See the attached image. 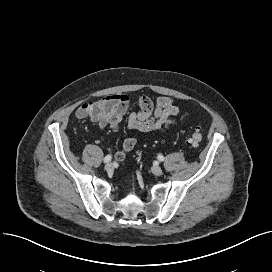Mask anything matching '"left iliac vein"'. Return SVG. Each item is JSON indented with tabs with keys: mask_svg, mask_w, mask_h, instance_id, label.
I'll return each mask as SVG.
<instances>
[{
	"mask_svg": "<svg viewBox=\"0 0 272 272\" xmlns=\"http://www.w3.org/2000/svg\"><path fill=\"white\" fill-rule=\"evenodd\" d=\"M152 172H153V174L156 175V176H160V175H162V173H163L161 167L158 166V165H155V166L152 167Z\"/></svg>",
	"mask_w": 272,
	"mask_h": 272,
	"instance_id": "1",
	"label": "left iliac vein"
}]
</instances>
